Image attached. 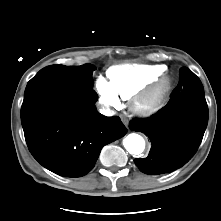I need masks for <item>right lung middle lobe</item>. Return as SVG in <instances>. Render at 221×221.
I'll return each mask as SVG.
<instances>
[{
  "label": "right lung middle lobe",
  "instance_id": "obj_1",
  "mask_svg": "<svg viewBox=\"0 0 221 221\" xmlns=\"http://www.w3.org/2000/svg\"><path fill=\"white\" fill-rule=\"evenodd\" d=\"M92 64L82 66L51 65L41 69L28 83L52 82L73 88H92Z\"/></svg>",
  "mask_w": 221,
  "mask_h": 221
}]
</instances>
